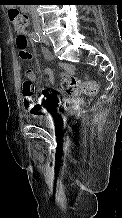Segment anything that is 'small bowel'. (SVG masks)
I'll return each instance as SVG.
<instances>
[{
    "instance_id": "obj_1",
    "label": "small bowel",
    "mask_w": 122,
    "mask_h": 218,
    "mask_svg": "<svg viewBox=\"0 0 122 218\" xmlns=\"http://www.w3.org/2000/svg\"><path fill=\"white\" fill-rule=\"evenodd\" d=\"M27 35L28 33L26 31H23L19 36L25 38L27 40ZM44 55L49 58V54L47 51H44ZM31 57V56H30ZM59 67L61 69L60 72V77L63 79L71 77L73 74V67L70 64L67 63H60ZM44 76H48L50 78V82L51 85L54 86V82L52 80V71L51 69H45L44 70ZM29 78L32 81H35L36 76L33 72H29ZM94 84L96 85V83L94 82ZM97 87V85H96ZM52 95L49 91L43 89L40 91V96L37 100L34 99V103H35V108H36V113L42 114L45 113L47 111V107L46 105H48L50 103V99H51ZM24 101H25V96H24ZM68 102L70 104H76L77 101L75 100H68Z\"/></svg>"
}]
</instances>
